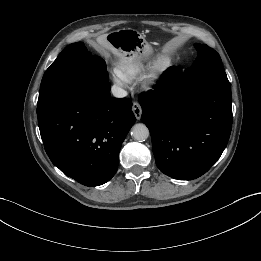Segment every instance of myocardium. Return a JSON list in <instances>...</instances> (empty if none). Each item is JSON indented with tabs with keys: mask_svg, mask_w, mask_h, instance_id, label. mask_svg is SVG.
Returning <instances> with one entry per match:
<instances>
[{
	"mask_svg": "<svg viewBox=\"0 0 261 261\" xmlns=\"http://www.w3.org/2000/svg\"><path fill=\"white\" fill-rule=\"evenodd\" d=\"M172 66V59L168 54H160L152 63L145 79L144 87L150 89L164 78Z\"/></svg>",
	"mask_w": 261,
	"mask_h": 261,
	"instance_id": "obj_1",
	"label": "myocardium"
}]
</instances>
